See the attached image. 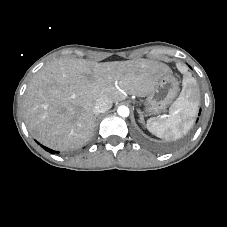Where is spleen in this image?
Masks as SVG:
<instances>
[{"label":"spleen","mask_w":227,"mask_h":227,"mask_svg":"<svg viewBox=\"0 0 227 227\" xmlns=\"http://www.w3.org/2000/svg\"><path fill=\"white\" fill-rule=\"evenodd\" d=\"M194 91V79L185 77L181 95L171 106L168 118L149 119L146 125L149 132L166 141L177 140L186 134L198 109V102L190 99Z\"/></svg>","instance_id":"spleen-1"}]
</instances>
